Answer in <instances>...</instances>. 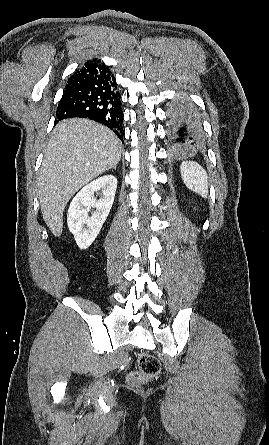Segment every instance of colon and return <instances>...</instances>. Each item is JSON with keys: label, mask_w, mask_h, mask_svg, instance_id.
I'll use <instances>...</instances> for the list:
<instances>
[{"label": "colon", "mask_w": 269, "mask_h": 445, "mask_svg": "<svg viewBox=\"0 0 269 445\" xmlns=\"http://www.w3.org/2000/svg\"><path fill=\"white\" fill-rule=\"evenodd\" d=\"M138 366V371H132L128 375V381L132 385H140L147 380L156 377L161 370L159 360L148 353L139 354Z\"/></svg>", "instance_id": "colon-1"}]
</instances>
